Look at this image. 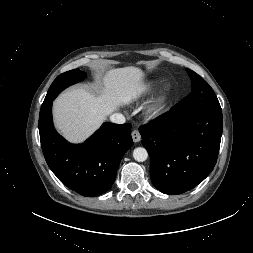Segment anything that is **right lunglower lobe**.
I'll return each mask as SVG.
<instances>
[{
	"instance_id": "obj_1",
	"label": "right lung lower lobe",
	"mask_w": 253,
	"mask_h": 253,
	"mask_svg": "<svg viewBox=\"0 0 253 253\" xmlns=\"http://www.w3.org/2000/svg\"><path fill=\"white\" fill-rule=\"evenodd\" d=\"M52 102L43 103L39 133L45 160L69 189L86 197L108 191L116 179L121 158L133 145L131 125L104 123L85 143H68L55 130Z\"/></svg>"
}]
</instances>
